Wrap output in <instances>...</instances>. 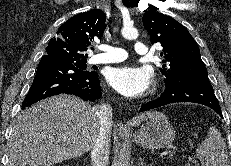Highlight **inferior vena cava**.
<instances>
[{"instance_id": "602c4592", "label": "inferior vena cava", "mask_w": 231, "mask_h": 166, "mask_svg": "<svg viewBox=\"0 0 231 166\" xmlns=\"http://www.w3.org/2000/svg\"><path fill=\"white\" fill-rule=\"evenodd\" d=\"M94 110L100 121V130L91 151L92 166H107L110 152L112 107L109 104H101L97 105Z\"/></svg>"}]
</instances>
